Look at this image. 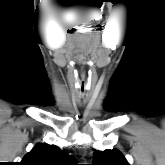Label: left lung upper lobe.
I'll use <instances>...</instances> for the list:
<instances>
[{
  "mask_svg": "<svg viewBox=\"0 0 165 165\" xmlns=\"http://www.w3.org/2000/svg\"><path fill=\"white\" fill-rule=\"evenodd\" d=\"M92 165H130L125 157L115 149L104 151L94 150Z\"/></svg>",
  "mask_w": 165,
  "mask_h": 165,
  "instance_id": "left-lung-upper-lobe-1",
  "label": "left lung upper lobe"
}]
</instances>
